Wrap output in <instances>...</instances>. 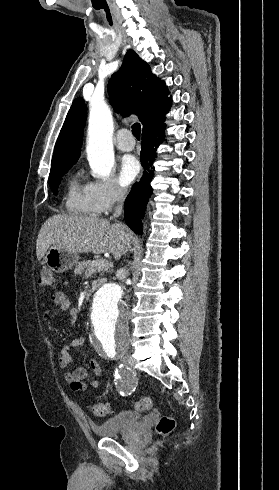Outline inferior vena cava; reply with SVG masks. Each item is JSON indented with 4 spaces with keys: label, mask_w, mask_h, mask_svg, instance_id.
I'll return each instance as SVG.
<instances>
[{
    "label": "inferior vena cava",
    "mask_w": 279,
    "mask_h": 490,
    "mask_svg": "<svg viewBox=\"0 0 279 490\" xmlns=\"http://www.w3.org/2000/svg\"><path fill=\"white\" fill-rule=\"evenodd\" d=\"M125 194H126V192H125V190H123V188H117L115 198H116L117 204H120V206H117L112 218H119V216H121V214L123 212L122 206H123ZM117 226H121V224H117ZM121 234H125V232H121ZM126 274H127V270H125V268H121V270H120L121 280H124V278H126Z\"/></svg>",
    "instance_id": "inferior-vena-cava-1"
}]
</instances>
